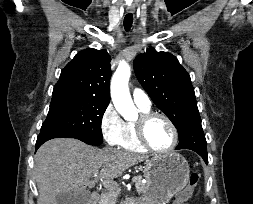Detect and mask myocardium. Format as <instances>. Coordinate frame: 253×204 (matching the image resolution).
<instances>
[{"mask_svg": "<svg viewBox=\"0 0 253 204\" xmlns=\"http://www.w3.org/2000/svg\"><path fill=\"white\" fill-rule=\"evenodd\" d=\"M156 118H161L165 120L167 124L170 126L172 134H173V140H172L171 145L167 149H164V150H158L152 147L146 137V128L148 124ZM135 127H136V134H137L139 143L145 150L149 152H152L155 154H169L176 148L178 144L179 135H178L177 128L175 124L173 123V121L165 114L158 113V112L143 113L139 117L138 121L135 123Z\"/></svg>", "mask_w": 253, "mask_h": 204, "instance_id": "1", "label": "myocardium"}]
</instances>
